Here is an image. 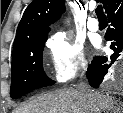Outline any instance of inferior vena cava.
<instances>
[{"label":"inferior vena cava","instance_id":"inferior-vena-cava-1","mask_svg":"<svg viewBox=\"0 0 123 113\" xmlns=\"http://www.w3.org/2000/svg\"><path fill=\"white\" fill-rule=\"evenodd\" d=\"M78 91L88 100H91L92 91L86 81H81L78 86ZM91 113H99L95 107L91 106Z\"/></svg>","mask_w":123,"mask_h":113}]
</instances>
